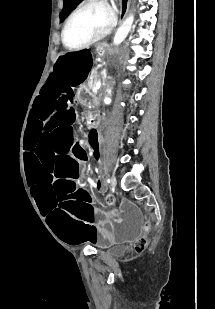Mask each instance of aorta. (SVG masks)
I'll return each mask as SVG.
<instances>
[{
  "mask_svg": "<svg viewBox=\"0 0 215 309\" xmlns=\"http://www.w3.org/2000/svg\"><path fill=\"white\" fill-rule=\"evenodd\" d=\"M134 14H129L127 18H125L124 22H122L121 26H119L115 36H114V44H120L124 38H126L129 30H131V26L133 24Z\"/></svg>",
  "mask_w": 215,
  "mask_h": 309,
  "instance_id": "obj_1",
  "label": "aorta"
}]
</instances>
